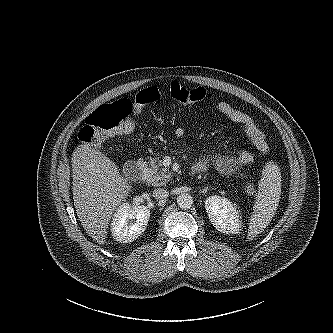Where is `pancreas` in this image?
Here are the masks:
<instances>
[{
  "mask_svg": "<svg viewBox=\"0 0 333 333\" xmlns=\"http://www.w3.org/2000/svg\"><path fill=\"white\" fill-rule=\"evenodd\" d=\"M148 163L146 177L149 184L161 186L171 180L172 173L168 168L162 167V161L158 157L151 158Z\"/></svg>",
  "mask_w": 333,
  "mask_h": 333,
  "instance_id": "1",
  "label": "pancreas"
}]
</instances>
